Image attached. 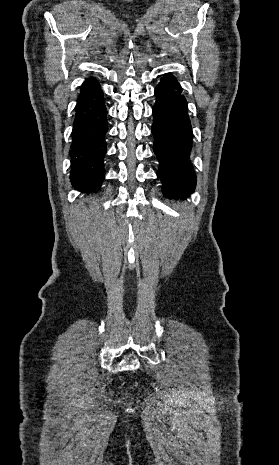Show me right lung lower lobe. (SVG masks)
I'll list each match as a JSON object with an SVG mask.
<instances>
[{
	"instance_id": "obj_1",
	"label": "right lung lower lobe",
	"mask_w": 279,
	"mask_h": 465,
	"mask_svg": "<svg viewBox=\"0 0 279 465\" xmlns=\"http://www.w3.org/2000/svg\"><path fill=\"white\" fill-rule=\"evenodd\" d=\"M107 110L100 84L86 80L75 108L72 131L70 179L80 191H95L104 180Z\"/></svg>"
}]
</instances>
